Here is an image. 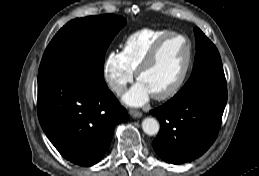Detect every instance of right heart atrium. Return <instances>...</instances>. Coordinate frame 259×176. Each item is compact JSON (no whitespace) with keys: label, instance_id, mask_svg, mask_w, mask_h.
I'll list each match as a JSON object with an SVG mask.
<instances>
[{"label":"right heart atrium","instance_id":"right-heart-atrium-1","mask_svg":"<svg viewBox=\"0 0 259 176\" xmlns=\"http://www.w3.org/2000/svg\"><path fill=\"white\" fill-rule=\"evenodd\" d=\"M103 77L116 94H121L133 80L134 72L126 65L121 51H110L103 63Z\"/></svg>","mask_w":259,"mask_h":176}]
</instances>
